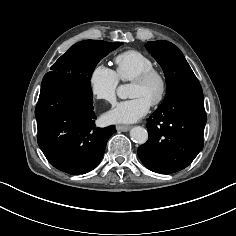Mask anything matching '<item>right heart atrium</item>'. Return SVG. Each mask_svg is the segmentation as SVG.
Masks as SVG:
<instances>
[{
	"mask_svg": "<svg viewBox=\"0 0 236 236\" xmlns=\"http://www.w3.org/2000/svg\"><path fill=\"white\" fill-rule=\"evenodd\" d=\"M88 85L91 94L96 99L113 102L119 85V77L115 70L103 63H97L88 74Z\"/></svg>",
	"mask_w": 236,
	"mask_h": 236,
	"instance_id": "right-heart-atrium-1",
	"label": "right heart atrium"
}]
</instances>
